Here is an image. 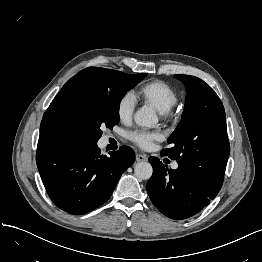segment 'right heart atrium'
<instances>
[{
	"label": "right heart atrium",
	"instance_id": "right-heart-atrium-1",
	"mask_svg": "<svg viewBox=\"0 0 262 262\" xmlns=\"http://www.w3.org/2000/svg\"><path fill=\"white\" fill-rule=\"evenodd\" d=\"M136 106V100L131 93L124 94L117 104V116L122 122L131 120Z\"/></svg>",
	"mask_w": 262,
	"mask_h": 262
}]
</instances>
